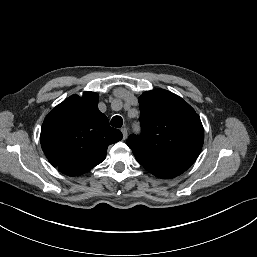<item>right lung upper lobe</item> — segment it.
I'll return each mask as SVG.
<instances>
[{"mask_svg":"<svg viewBox=\"0 0 257 257\" xmlns=\"http://www.w3.org/2000/svg\"><path fill=\"white\" fill-rule=\"evenodd\" d=\"M97 105V93L72 95L57 105L43 122L42 149L50 163L66 175H81L100 164L108 146L123 137L119 130L110 127Z\"/></svg>","mask_w":257,"mask_h":257,"instance_id":"cb5924a9","label":"right lung upper lobe"}]
</instances>
